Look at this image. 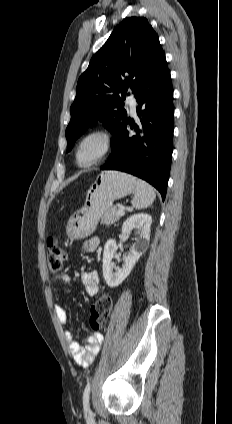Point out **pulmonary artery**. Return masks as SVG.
<instances>
[{"label":"pulmonary artery","instance_id":"obj_1","mask_svg":"<svg viewBox=\"0 0 232 424\" xmlns=\"http://www.w3.org/2000/svg\"><path fill=\"white\" fill-rule=\"evenodd\" d=\"M127 104L130 107V111L132 114L136 113V98L133 94H130L126 100Z\"/></svg>","mask_w":232,"mask_h":424}]
</instances>
